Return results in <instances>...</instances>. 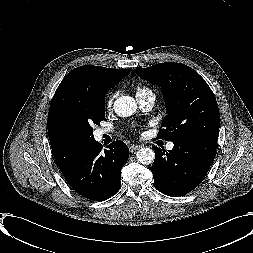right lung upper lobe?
Listing matches in <instances>:
<instances>
[{
    "label": "right lung upper lobe",
    "mask_w": 253,
    "mask_h": 253,
    "mask_svg": "<svg viewBox=\"0 0 253 253\" xmlns=\"http://www.w3.org/2000/svg\"><path fill=\"white\" fill-rule=\"evenodd\" d=\"M131 69L80 66L70 71L58 86L48 115V135L55 161L66 174L92 142L84 141L65 126V118L75 113L76 96L81 91L104 94L121 81Z\"/></svg>",
    "instance_id": "obj_1"
}]
</instances>
